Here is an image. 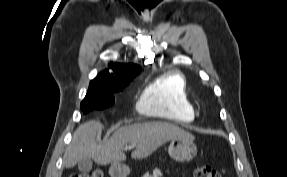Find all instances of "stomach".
Masks as SVG:
<instances>
[{
	"label": "stomach",
	"mask_w": 287,
	"mask_h": 177,
	"mask_svg": "<svg viewBox=\"0 0 287 177\" xmlns=\"http://www.w3.org/2000/svg\"><path fill=\"white\" fill-rule=\"evenodd\" d=\"M168 152L175 161L188 162L196 156L197 147L191 138H177L171 140ZM129 173V167L124 164L113 163L109 168L111 177H127Z\"/></svg>",
	"instance_id": "0dacf381"
}]
</instances>
